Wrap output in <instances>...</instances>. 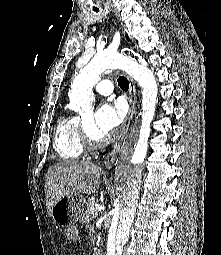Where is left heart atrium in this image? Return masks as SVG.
<instances>
[{"mask_svg": "<svg viewBox=\"0 0 221 255\" xmlns=\"http://www.w3.org/2000/svg\"><path fill=\"white\" fill-rule=\"evenodd\" d=\"M124 112V108L119 102L103 103L94 115V129L102 136L108 135L122 123Z\"/></svg>", "mask_w": 221, "mask_h": 255, "instance_id": "obj_1", "label": "left heart atrium"}]
</instances>
